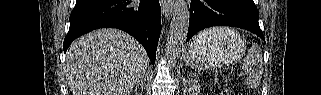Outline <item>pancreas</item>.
Masks as SVG:
<instances>
[{
	"mask_svg": "<svg viewBox=\"0 0 321 95\" xmlns=\"http://www.w3.org/2000/svg\"><path fill=\"white\" fill-rule=\"evenodd\" d=\"M191 92L196 94L200 90V85L196 80H189Z\"/></svg>",
	"mask_w": 321,
	"mask_h": 95,
	"instance_id": "pancreas-1",
	"label": "pancreas"
}]
</instances>
